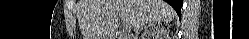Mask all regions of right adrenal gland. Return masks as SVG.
Listing matches in <instances>:
<instances>
[{"label":"right adrenal gland","instance_id":"obj_1","mask_svg":"<svg viewBox=\"0 0 249 39\" xmlns=\"http://www.w3.org/2000/svg\"><path fill=\"white\" fill-rule=\"evenodd\" d=\"M154 26V22H152V23H146L145 24V28H144V33L142 34V36H145L146 34H147V32H148V30H147V28H151V27H153ZM139 32V30H137V32L136 33H138Z\"/></svg>","mask_w":249,"mask_h":39}]
</instances>
